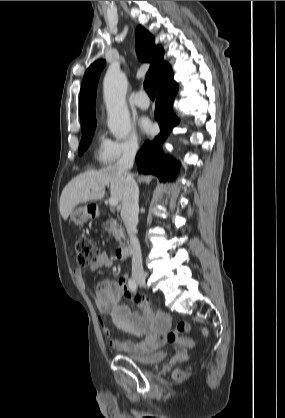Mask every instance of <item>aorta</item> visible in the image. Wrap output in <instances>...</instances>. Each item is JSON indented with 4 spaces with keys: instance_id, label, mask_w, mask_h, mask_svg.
<instances>
[{
    "instance_id": "aorta-1",
    "label": "aorta",
    "mask_w": 285,
    "mask_h": 418,
    "mask_svg": "<svg viewBox=\"0 0 285 418\" xmlns=\"http://www.w3.org/2000/svg\"><path fill=\"white\" fill-rule=\"evenodd\" d=\"M103 92L108 111V128L117 139H124L130 133L131 119L125 105L127 78L119 68H110L107 71Z\"/></svg>"
}]
</instances>
